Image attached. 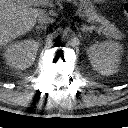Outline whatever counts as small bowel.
Returning a JSON list of instances; mask_svg holds the SVG:
<instances>
[{"mask_svg": "<svg viewBox=\"0 0 128 128\" xmlns=\"http://www.w3.org/2000/svg\"><path fill=\"white\" fill-rule=\"evenodd\" d=\"M94 2H98V3H101V2H104L105 0H93Z\"/></svg>", "mask_w": 128, "mask_h": 128, "instance_id": "c3829d8e", "label": "small bowel"}]
</instances>
